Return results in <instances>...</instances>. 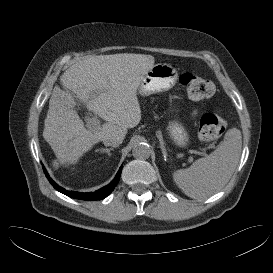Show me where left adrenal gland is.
Instances as JSON below:
<instances>
[{"mask_svg":"<svg viewBox=\"0 0 273 273\" xmlns=\"http://www.w3.org/2000/svg\"><path fill=\"white\" fill-rule=\"evenodd\" d=\"M162 153H163V156H164V158H166V151L162 148Z\"/></svg>","mask_w":273,"mask_h":273,"instance_id":"obj_1","label":"left adrenal gland"}]
</instances>
